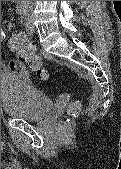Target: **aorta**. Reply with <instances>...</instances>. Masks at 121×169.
<instances>
[{
	"label": "aorta",
	"instance_id": "762f6f07",
	"mask_svg": "<svg viewBox=\"0 0 121 169\" xmlns=\"http://www.w3.org/2000/svg\"><path fill=\"white\" fill-rule=\"evenodd\" d=\"M20 2H21V3H25V4L27 3V4H28V3L31 2V1H20Z\"/></svg>",
	"mask_w": 121,
	"mask_h": 169
}]
</instances>
